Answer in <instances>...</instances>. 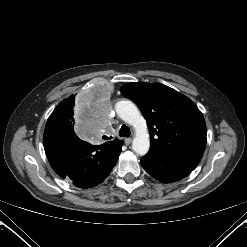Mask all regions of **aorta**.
<instances>
[{
  "instance_id": "aorta-1",
  "label": "aorta",
  "mask_w": 247,
  "mask_h": 247,
  "mask_svg": "<svg viewBox=\"0 0 247 247\" xmlns=\"http://www.w3.org/2000/svg\"><path fill=\"white\" fill-rule=\"evenodd\" d=\"M117 115L135 129V137L132 142V149L137 154L143 156L150 148V139L147 123L141 116L136 105L129 100H121L115 104Z\"/></svg>"
}]
</instances>
